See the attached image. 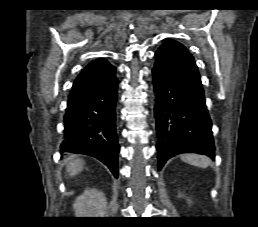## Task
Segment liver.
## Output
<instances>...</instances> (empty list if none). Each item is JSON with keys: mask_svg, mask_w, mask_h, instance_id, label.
<instances>
[{"mask_svg": "<svg viewBox=\"0 0 258 227\" xmlns=\"http://www.w3.org/2000/svg\"><path fill=\"white\" fill-rule=\"evenodd\" d=\"M84 161L81 159L68 160L66 170L70 176H75L83 170Z\"/></svg>", "mask_w": 258, "mask_h": 227, "instance_id": "obj_1", "label": "liver"}]
</instances>
